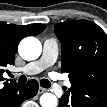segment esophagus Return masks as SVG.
<instances>
[{
  "mask_svg": "<svg viewBox=\"0 0 107 107\" xmlns=\"http://www.w3.org/2000/svg\"><path fill=\"white\" fill-rule=\"evenodd\" d=\"M47 89L43 88V87H39V94L46 92Z\"/></svg>",
  "mask_w": 107,
  "mask_h": 107,
  "instance_id": "obj_1",
  "label": "esophagus"
}]
</instances>
